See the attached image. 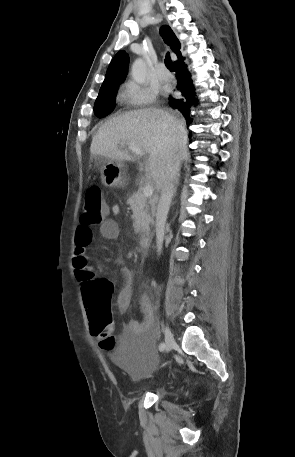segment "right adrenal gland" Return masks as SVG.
Segmentation results:
<instances>
[{
    "label": "right adrenal gland",
    "instance_id": "obj_1",
    "mask_svg": "<svg viewBox=\"0 0 295 457\" xmlns=\"http://www.w3.org/2000/svg\"><path fill=\"white\" fill-rule=\"evenodd\" d=\"M178 184H179V179H177V181H176V185H175V188H174V196L176 195Z\"/></svg>",
    "mask_w": 295,
    "mask_h": 457
}]
</instances>
